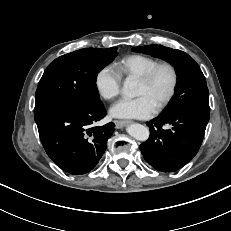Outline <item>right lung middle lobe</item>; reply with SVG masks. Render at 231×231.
<instances>
[{
	"label": "right lung middle lobe",
	"mask_w": 231,
	"mask_h": 231,
	"mask_svg": "<svg viewBox=\"0 0 231 231\" xmlns=\"http://www.w3.org/2000/svg\"><path fill=\"white\" fill-rule=\"evenodd\" d=\"M116 56L117 48H84L55 59L38 84L35 114L56 106L101 105L96 77Z\"/></svg>",
	"instance_id": "1"
}]
</instances>
